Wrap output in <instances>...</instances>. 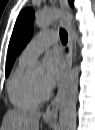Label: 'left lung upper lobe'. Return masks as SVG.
Segmentation results:
<instances>
[{"mask_svg": "<svg viewBox=\"0 0 95 130\" xmlns=\"http://www.w3.org/2000/svg\"><path fill=\"white\" fill-rule=\"evenodd\" d=\"M72 5V1H70ZM34 10L26 8L19 14L11 36L6 66V76L9 75L17 55L29 42L33 33Z\"/></svg>", "mask_w": 95, "mask_h": 130, "instance_id": "5c2ea615", "label": "left lung upper lobe"}]
</instances>
